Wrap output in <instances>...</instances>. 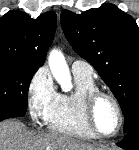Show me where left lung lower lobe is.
I'll return each mask as SVG.
<instances>
[{"instance_id":"1","label":"left lung lower lobe","mask_w":139,"mask_h":150,"mask_svg":"<svg viewBox=\"0 0 139 150\" xmlns=\"http://www.w3.org/2000/svg\"><path fill=\"white\" fill-rule=\"evenodd\" d=\"M117 145L125 150H139V129H133L125 134Z\"/></svg>"}]
</instances>
